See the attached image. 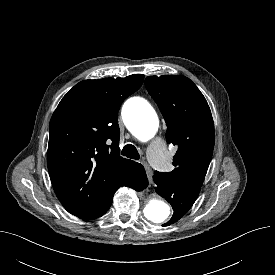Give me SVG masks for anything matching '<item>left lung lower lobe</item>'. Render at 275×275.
<instances>
[{
	"instance_id": "obj_1",
	"label": "left lung lower lobe",
	"mask_w": 275,
	"mask_h": 275,
	"mask_svg": "<svg viewBox=\"0 0 275 275\" xmlns=\"http://www.w3.org/2000/svg\"><path fill=\"white\" fill-rule=\"evenodd\" d=\"M153 179L157 185L156 191L158 194L164 197L174 209L172 218L169 222L164 224V226L175 223L192 207L198 197L200 188L189 184L175 182L165 173L157 171L155 172Z\"/></svg>"
}]
</instances>
